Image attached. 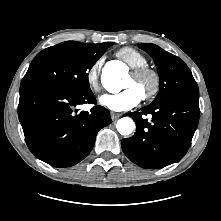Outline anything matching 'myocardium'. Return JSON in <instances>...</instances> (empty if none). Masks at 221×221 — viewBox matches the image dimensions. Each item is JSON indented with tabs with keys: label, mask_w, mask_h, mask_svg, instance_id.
<instances>
[{
	"label": "myocardium",
	"mask_w": 221,
	"mask_h": 221,
	"mask_svg": "<svg viewBox=\"0 0 221 221\" xmlns=\"http://www.w3.org/2000/svg\"><path fill=\"white\" fill-rule=\"evenodd\" d=\"M131 75L136 80H141L144 78H149L151 81V86L149 90L143 93L142 98L146 101L153 100L159 93L161 88V76L157 69L150 66H142L133 68L131 71Z\"/></svg>",
	"instance_id": "myocardium-1"
}]
</instances>
